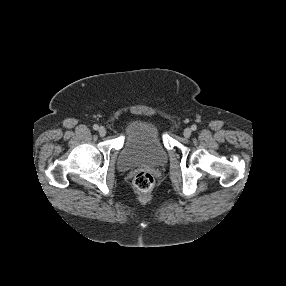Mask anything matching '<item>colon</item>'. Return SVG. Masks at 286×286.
<instances>
[{
  "label": "colon",
  "instance_id": "colon-1",
  "mask_svg": "<svg viewBox=\"0 0 286 286\" xmlns=\"http://www.w3.org/2000/svg\"><path fill=\"white\" fill-rule=\"evenodd\" d=\"M134 187L140 192H149L154 186V178L150 173L140 172L133 181Z\"/></svg>",
  "mask_w": 286,
  "mask_h": 286
}]
</instances>
